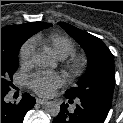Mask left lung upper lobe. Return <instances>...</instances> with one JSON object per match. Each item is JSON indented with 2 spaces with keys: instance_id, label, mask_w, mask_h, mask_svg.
<instances>
[{
  "instance_id": "1",
  "label": "left lung upper lobe",
  "mask_w": 123,
  "mask_h": 123,
  "mask_svg": "<svg viewBox=\"0 0 123 123\" xmlns=\"http://www.w3.org/2000/svg\"><path fill=\"white\" fill-rule=\"evenodd\" d=\"M59 25L85 50L88 57L86 73L77 86L66 91L70 98H92L111 104L115 85L114 56L101 39L68 23Z\"/></svg>"
}]
</instances>
